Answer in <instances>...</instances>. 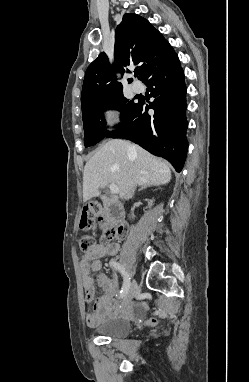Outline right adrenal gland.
Segmentation results:
<instances>
[{
	"instance_id": "2a0ac1e0",
	"label": "right adrenal gland",
	"mask_w": 249,
	"mask_h": 382,
	"mask_svg": "<svg viewBox=\"0 0 249 382\" xmlns=\"http://www.w3.org/2000/svg\"><path fill=\"white\" fill-rule=\"evenodd\" d=\"M150 185H152V184H151V183H145V184H143V185L140 187V189H139L138 191H141V190H143V189L149 187Z\"/></svg>"
}]
</instances>
